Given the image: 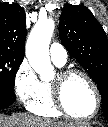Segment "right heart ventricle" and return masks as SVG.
I'll return each mask as SVG.
<instances>
[{
  "label": "right heart ventricle",
  "instance_id": "right-heart-ventricle-1",
  "mask_svg": "<svg viewBox=\"0 0 108 127\" xmlns=\"http://www.w3.org/2000/svg\"><path fill=\"white\" fill-rule=\"evenodd\" d=\"M57 66L63 67L64 65ZM29 110L43 117H60L62 115L54 104L51 82H41L39 94L29 105Z\"/></svg>",
  "mask_w": 108,
  "mask_h": 127
}]
</instances>
